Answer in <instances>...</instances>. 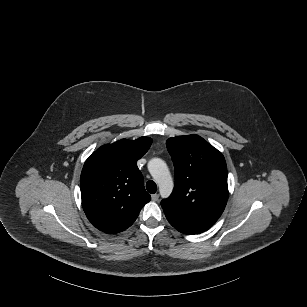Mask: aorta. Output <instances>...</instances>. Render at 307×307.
<instances>
[{"label": "aorta", "instance_id": "obj_1", "mask_svg": "<svg viewBox=\"0 0 307 307\" xmlns=\"http://www.w3.org/2000/svg\"><path fill=\"white\" fill-rule=\"evenodd\" d=\"M148 171L159 186V192L162 198H167L172 193L174 184L166 162L160 158L149 160Z\"/></svg>", "mask_w": 307, "mask_h": 307}]
</instances>
